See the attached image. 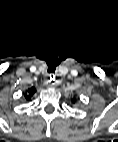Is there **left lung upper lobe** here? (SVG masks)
<instances>
[{"instance_id":"1","label":"left lung upper lobe","mask_w":118,"mask_h":142,"mask_svg":"<svg viewBox=\"0 0 118 142\" xmlns=\"http://www.w3.org/2000/svg\"><path fill=\"white\" fill-rule=\"evenodd\" d=\"M72 102L74 103V102H75V99H74V100H72Z\"/></svg>"}]
</instances>
